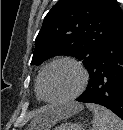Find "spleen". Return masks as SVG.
<instances>
[{"mask_svg": "<svg viewBox=\"0 0 123 130\" xmlns=\"http://www.w3.org/2000/svg\"><path fill=\"white\" fill-rule=\"evenodd\" d=\"M94 117L92 130H123V120L107 108L97 104H86Z\"/></svg>", "mask_w": 123, "mask_h": 130, "instance_id": "spleen-1", "label": "spleen"}]
</instances>
